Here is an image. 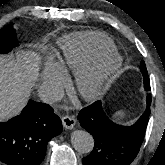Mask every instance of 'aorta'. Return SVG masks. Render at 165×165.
Masks as SVG:
<instances>
[{"label": "aorta", "instance_id": "aorta-1", "mask_svg": "<svg viewBox=\"0 0 165 165\" xmlns=\"http://www.w3.org/2000/svg\"><path fill=\"white\" fill-rule=\"evenodd\" d=\"M71 143L74 149L80 153H90L94 148L92 135L84 130L74 131L71 135Z\"/></svg>", "mask_w": 165, "mask_h": 165}]
</instances>
